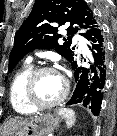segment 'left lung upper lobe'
Here are the masks:
<instances>
[{
  "label": "left lung upper lobe",
  "instance_id": "obj_1",
  "mask_svg": "<svg viewBox=\"0 0 117 136\" xmlns=\"http://www.w3.org/2000/svg\"><path fill=\"white\" fill-rule=\"evenodd\" d=\"M63 25L67 26L69 37L60 44L58 39L62 36L57 34V29ZM99 27V21L83 0H35L30 15L15 34L8 72L25 54L40 48H53L72 63L76 57L71 37L78 30H83L84 33L80 35L86 37Z\"/></svg>",
  "mask_w": 117,
  "mask_h": 136
}]
</instances>
